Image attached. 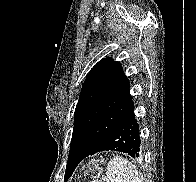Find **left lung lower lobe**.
<instances>
[{
	"label": "left lung lower lobe",
	"instance_id": "1",
	"mask_svg": "<svg viewBox=\"0 0 196 182\" xmlns=\"http://www.w3.org/2000/svg\"><path fill=\"white\" fill-rule=\"evenodd\" d=\"M102 151H119L131 157L140 156V130L135 118L134 106L93 151L87 152L81 149L70 151L69 160H73L77 166L87 156ZM67 179L65 181H67Z\"/></svg>",
	"mask_w": 196,
	"mask_h": 182
}]
</instances>
